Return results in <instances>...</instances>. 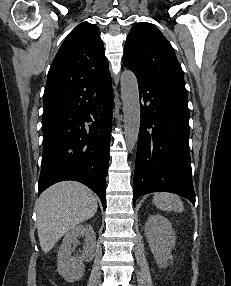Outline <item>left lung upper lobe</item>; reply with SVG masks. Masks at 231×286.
<instances>
[{
	"label": "left lung upper lobe",
	"instance_id": "obj_1",
	"mask_svg": "<svg viewBox=\"0 0 231 286\" xmlns=\"http://www.w3.org/2000/svg\"><path fill=\"white\" fill-rule=\"evenodd\" d=\"M123 63L139 79L186 91L183 72L172 46L152 25L139 23L131 28Z\"/></svg>",
	"mask_w": 231,
	"mask_h": 286
}]
</instances>
